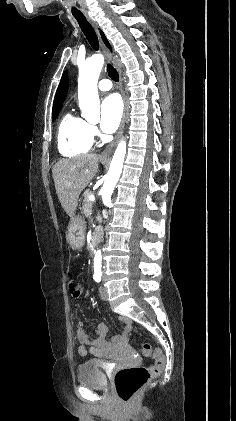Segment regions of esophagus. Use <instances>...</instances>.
<instances>
[{
	"label": "esophagus",
	"mask_w": 236,
	"mask_h": 421,
	"mask_svg": "<svg viewBox=\"0 0 236 421\" xmlns=\"http://www.w3.org/2000/svg\"><path fill=\"white\" fill-rule=\"evenodd\" d=\"M89 18V17H87ZM89 21L91 22V24L93 25V27L95 28V30L98 33V37H99V42H100V46L101 48L106 52L107 58L109 60H113V52H111L109 50L108 47H106V45L104 44V42L102 41L100 34H99V30H98V25L97 23L89 18ZM120 91H121V95L123 98V103H124V109H123V116H122V120H121V124L120 127L118 129V132L116 133L113 141L105 148V150L99 155V159L100 160H104L107 161L110 158V155L112 154L115 146L117 145L122 133H123V128L125 125V119H126V111H127V101H126V95L123 89V80L122 77L120 76Z\"/></svg>",
	"instance_id": "esophagus-1"
}]
</instances>
